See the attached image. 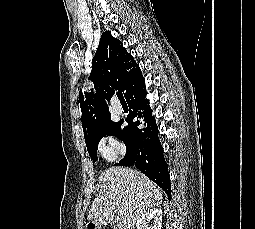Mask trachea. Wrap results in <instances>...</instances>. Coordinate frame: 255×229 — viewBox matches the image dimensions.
Wrapping results in <instances>:
<instances>
[{
    "mask_svg": "<svg viewBox=\"0 0 255 229\" xmlns=\"http://www.w3.org/2000/svg\"><path fill=\"white\" fill-rule=\"evenodd\" d=\"M117 97L120 100V102H125L124 96L122 92H117Z\"/></svg>",
    "mask_w": 255,
    "mask_h": 229,
    "instance_id": "1",
    "label": "trachea"
}]
</instances>
